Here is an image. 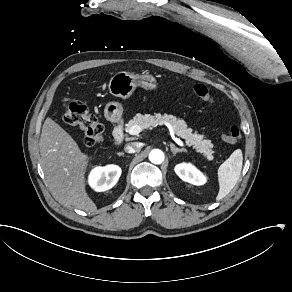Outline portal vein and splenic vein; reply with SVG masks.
<instances>
[{
    "instance_id": "obj_1",
    "label": "portal vein and splenic vein",
    "mask_w": 292,
    "mask_h": 292,
    "mask_svg": "<svg viewBox=\"0 0 292 292\" xmlns=\"http://www.w3.org/2000/svg\"><path fill=\"white\" fill-rule=\"evenodd\" d=\"M126 132H127L129 135H131V136H135V135H138V134L141 132V129H140V127H138V126H133V127L129 128V129H127ZM174 141H175L179 146H181V147H185V144H184L181 140H179V139H175Z\"/></svg>"
}]
</instances>
